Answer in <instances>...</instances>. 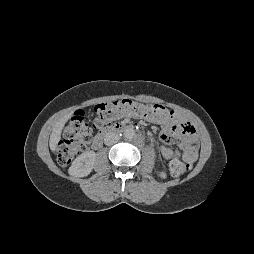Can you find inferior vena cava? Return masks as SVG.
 Wrapping results in <instances>:
<instances>
[{
  "label": "inferior vena cava",
  "instance_id": "inferior-vena-cava-1",
  "mask_svg": "<svg viewBox=\"0 0 254 254\" xmlns=\"http://www.w3.org/2000/svg\"><path fill=\"white\" fill-rule=\"evenodd\" d=\"M119 141V135L116 132H108L104 136V143L107 146H111Z\"/></svg>",
  "mask_w": 254,
  "mask_h": 254
}]
</instances>
